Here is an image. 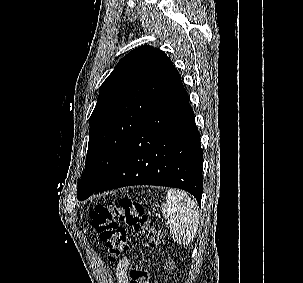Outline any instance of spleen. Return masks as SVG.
<instances>
[{
	"label": "spleen",
	"instance_id": "spleen-1",
	"mask_svg": "<svg viewBox=\"0 0 303 283\" xmlns=\"http://www.w3.org/2000/svg\"><path fill=\"white\" fill-rule=\"evenodd\" d=\"M162 213L168 220L170 234L175 242L185 245L193 241L199 224L195 200L186 192L171 188L167 191Z\"/></svg>",
	"mask_w": 303,
	"mask_h": 283
}]
</instances>
